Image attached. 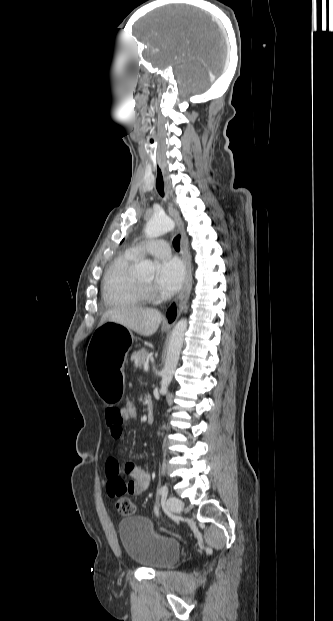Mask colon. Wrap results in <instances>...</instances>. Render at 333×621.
<instances>
[{
  "label": "colon",
  "mask_w": 333,
  "mask_h": 621,
  "mask_svg": "<svg viewBox=\"0 0 333 621\" xmlns=\"http://www.w3.org/2000/svg\"><path fill=\"white\" fill-rule=\"evenodd\" d=\"M121 409L125 420H134L138 416V407L132 399H126L121 402ZM117 510L122 515H132L135 513V505L125 497L118 499L116 503Z\"/></svg>",
  "instance_id": "1"
}]
</instances>
